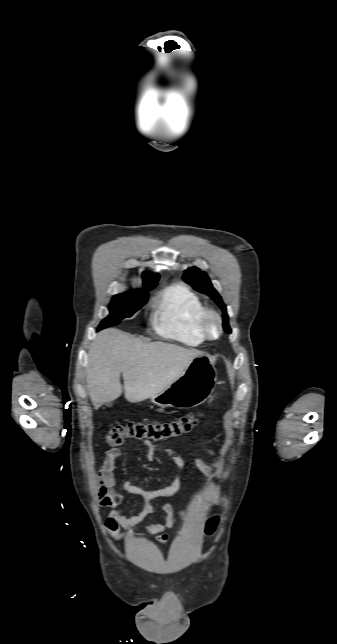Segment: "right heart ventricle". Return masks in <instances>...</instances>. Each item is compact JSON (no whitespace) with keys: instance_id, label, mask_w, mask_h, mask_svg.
Segmentation results:
<instances>
[{"instance_id":"right-heart-ventricle-1","label":"right heart ventricle","mask_w":337,"mask_h":644,"mask_svg":"<svg viewBox=\"0 0 337 644\" xmlns=\"http://www.w3.org/2000/svg\"><path fill=\"white\" fill-rule=\"evenodd\" d=\"M204 310L199 296L189 286L172 283L157 298L154 329L159 335L183 344L200 345L205 341L199 328Z\"/></svg>"}]
</instances>
